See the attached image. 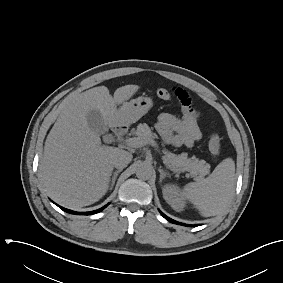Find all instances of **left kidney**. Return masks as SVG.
Returning a JSON list of instances; mask_svg holds the SVG:
<instances>
[{"label":"left kidney","instance_id":"5707ae66","mask_svg":"<svg viewBox=\"0 0 283 283\" xmlns=\"http://www.w3.org/2000/svg\"><path fill=\"white\" fill-rule=\"evenodd\" d=\"M163 197L166 202L177 212L183 211L185 208V201L182 197L179 187L175 184H167L164 186Z\"/></svg>","mask_w":283,"mask_h":283}]
</instances>
